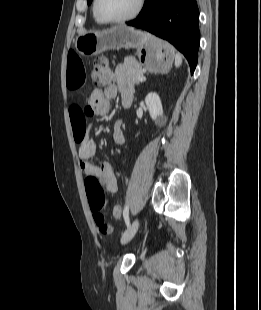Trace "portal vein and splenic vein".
Returning a JSON list of instances; mask_svg holds the SVG:
<instances>
[{
	"mask_svg": "<svg viewBox=\"0 0 261 310\" xmlns=\"http://www.w3.org/2000/svg\"><path fill=\"white\" fill-rule=\"evenodd\" d=\"M139 81H145L146 80V78L144 77V76H141V77H139V79H138Z\"/></svg>",
	"mask_w": 261,
	"mask_h": 310,
	"instance_id": "obj_1",
	"label": "portal vein and splenic vein"
}]
</instances>
